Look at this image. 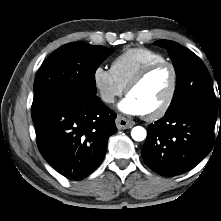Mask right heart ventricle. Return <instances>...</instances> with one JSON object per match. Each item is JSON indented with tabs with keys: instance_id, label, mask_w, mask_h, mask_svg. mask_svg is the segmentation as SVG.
Listing matches in <instances>:
<instances>
[{
	"instance_id": "1",
	"label": "right heart ventricle",
	"mask_w": 221,
	"mask_h": 221,
	"mask_svg": "<svg viewBox=\"0 0 221 221\" xmlns=\"http://www.w3.org/2000/svg\"><path fill=\"white\" fill-rule=\"evenodd\" d=\"M164 60V56L157 51L145 47H134L126 49L115 57L110 70L118 82L126 87L143 67Z\"/></svg>"
}]
</instances>
